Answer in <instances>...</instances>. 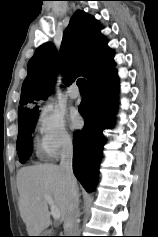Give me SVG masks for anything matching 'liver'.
Here are the masks:
<instances>
[{
    "label": "liver",
    "instance_id": "6515ba94",
    "mask_svg": "<svg viewBox=\"0 0 158 237\" xmlns=\"http://www.w3.org/2000/svg\"><path fill=\"white\" fill-rule=\"evenodd\" d=\"M19 210L29 236H40L50 224L45 195L52 197L64 221L67 213L69 185L65 171L55 164H37L17 173Z\"/></svg>",
    "mask_w": 158,
    "mask_h": 237
}]
</instances>
